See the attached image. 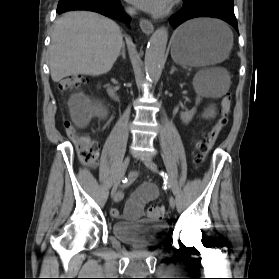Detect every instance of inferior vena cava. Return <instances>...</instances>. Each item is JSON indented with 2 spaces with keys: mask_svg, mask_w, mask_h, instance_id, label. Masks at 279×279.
I'll list each match as a JSON object with an SVG mask.
<instances>
[{
  "mask_svg": "<svg viewBox=\"0 0 279 279\" xmlns=\"http://www.w3.org/2000/svg\"><path fill=\"white\" fill-rule=\"evenodd\" d=\"M127 12L131 16L136 14V10L134 8H128Z\"/></svg>",
  "mask_w": 279,
  "mask_h": 279,
  "instance_id": "inferior-vena-cava-1",
  "label": "inferior vena cava"
}]
</instances>
